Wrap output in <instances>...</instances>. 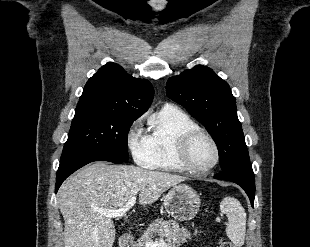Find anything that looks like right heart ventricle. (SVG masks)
Segmentation results:
<instances>
[{"mask_svg": "<svg viewBox=\"0 0 310 247\" xmlns=\"http://www.w3.org/2000/svg\"><path fill=\"white\" fill-rule=\"evenodd\" d=\"M198 128L184 111L172 105L163 106L149 120L147 139L153 162L148 168L184 171L178 158L179 139L183 133Z\"/></svg>", "mask_w": 310, "mask_h": 247, "instance_id": "1", "label": "right heart ventricle"}]
</instances>
